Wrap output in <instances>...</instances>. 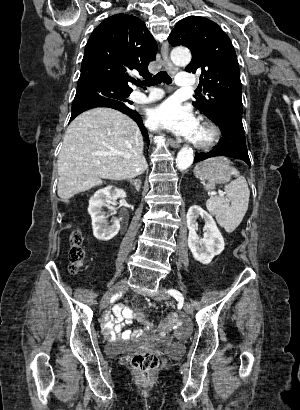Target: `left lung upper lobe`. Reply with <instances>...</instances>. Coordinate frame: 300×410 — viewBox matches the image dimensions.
Wrapping results in <instances>:
<instances>
[{"mask_svg":"<svg viewBox=\"0 0 300 410\" xmlns=\"http://www.w3.org/2000/svg\"><path fill=\"white\" fill-rule=\"evenodd\" d=\"M168 41L189 48L192 60L185 70L201 73L199 86L207 97L194 96L193 106L212 121L223 114L242 119L240 70L226 33L209 19L189 16L176 24Z\"/></svg>","mask_w":300,"mask_h":410,"instance_id":"5c2ea615","label":"left lung upper lobe"}]
</instances>
